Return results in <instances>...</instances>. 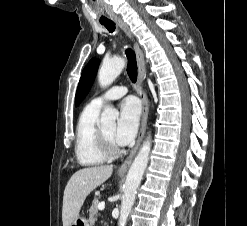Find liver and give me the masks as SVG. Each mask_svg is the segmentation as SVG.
<instances>
[{
    "label": "liver",
    "mask_w": 247,
    "mask_h": 226,
    "mask_svg": "<svg viewBox=\"0 0 247 226\" xmlns=\"http://www.w3.org/2000/svg\"><path fill=\"white\" fill-rule=\"evenodd\" d=\"M113 172L112 165L87 167L75 172L69 179L63 196V226L70 224L79 216L86 197L104 183Z\"/></svg>",
    "instance_id": "obj_1"
}]
</instances>
